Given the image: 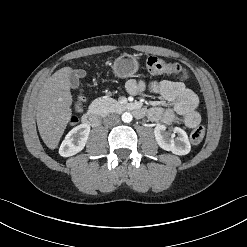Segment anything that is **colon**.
<instances>
[{
  "instance_id": "obj_1",
  "label": "colon",
  "mask_w": 247,
  "mask_h": 247,
  "mask_svg": "<svg viewBox=\"0 0 247 247\" xmlns=\"http://www.w3.org/2000/svg\"><path fill=\"white\" fill-rule=\"evenodd\" d=\"M146 68L151 74H179L183 78L187 77L186 70L178 63L166 62L163 59L150 56L146 60ZM78 105H81V99L78 101ZM205 135V128L202 125L196 126L190 135L191 141L194 144H199Z\"/></svg>"
}]
</instances>
